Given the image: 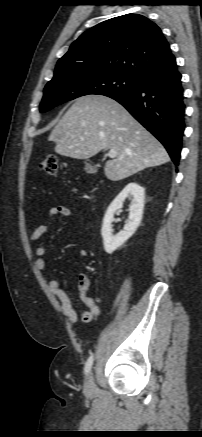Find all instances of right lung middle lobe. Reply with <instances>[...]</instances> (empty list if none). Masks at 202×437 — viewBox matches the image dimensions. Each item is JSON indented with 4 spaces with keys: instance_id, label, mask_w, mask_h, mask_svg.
Here are the masks:
<instances>
[{
    "instance_id": "1",
    "label": "right lung middle lobe",
    "mask_w": 202,
    "mask_h": 437,
    "mask_svg": "<svg viewBox=\"0 0 202 437\" xmlns=\"http://www.w3.org/2000/svg\"><path fill=\"white\" fill-rule=\"evenodd\" d=\"M139 79L121 73L78 74L70 73L47 83L40 104V112L75 98L99 94L111 96L132 90Z\"/></svg>"
}]
</instances>
